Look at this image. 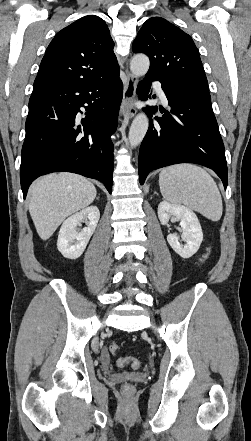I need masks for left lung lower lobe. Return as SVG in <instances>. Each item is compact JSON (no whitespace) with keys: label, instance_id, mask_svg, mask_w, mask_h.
Segmentation results:
<instances>
[{"label":"left lung lower lobe","instance_id":"1","mask_svg":"<svg viewBox=\"0 0 251 441\" xmlns=\"http://www.w3.org/2000/svg\"><path fill=\"white\" fill-rule=\"evenodd\" d=\"M157 80L146 77L138 84L137 93L142 100L150 98L151 82ZM158 81L162 84L171 111L160 109L166 115L152 119L157 107L144 109L150 123L139 152L140 183H144L152 170L178 163H196L214 170L226 189L225 149L209 91L179 82Z\"/></svg>","mask_w":251,"mask_h":441}]
</instances>
